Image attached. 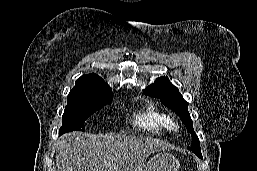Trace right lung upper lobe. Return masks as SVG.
Here are the masks:
<instances>
[{"label":"right lung upper lobe","instance_id":"right-lung-upper-lobe-1","mask_svg":"<svg viewBox=\"0 0 257 171\" xmlns=\"http://www.w3.org/2000/svg\"><path fill=\"white\" fill-rule=\"evenodd\" d=\"M73 89L107 91L112 93L108 84L94 73L83 75L77 79Z\"/></svg>","mask_w":257,"mask_h":171}]
</instances>
